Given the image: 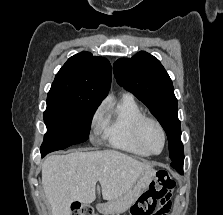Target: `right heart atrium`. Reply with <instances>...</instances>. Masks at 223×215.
<instances>
[{
  "instance_id": "obj_1",
  "label": "right heart atrium",
  "mask_w": 223,
  "mask_h": 215,
  "mask_svg": "<svg viewBox=\"0 0 223 215\" xmlns=\"http://www.w3.org/2000/svg\"><path fill=\"white\" fill-rule=\"evenodd\" d=\"M92 127L98 130L103 125V110L101 108L97 109L92 118Z\"/></svg>"
}]
</instances>
